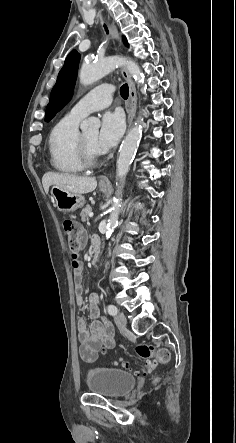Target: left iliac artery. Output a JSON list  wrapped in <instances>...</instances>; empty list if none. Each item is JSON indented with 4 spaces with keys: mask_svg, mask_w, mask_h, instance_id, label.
Segmentation results:
<instances>
[{
    "mask_svg": "<svg viewBox=\"0 0 236 443\" xmlns=\"http://www.w3.org/2000/svg\"><path fill=\"white\" fill-rule=\"evenodd\" d=\"M107 311L112 316H114V315H116L118 313L117 307L115 305H113V304H109L107 306Z\"/></svg>",
    "mask_w": 236,
    "mask_h": 443,
    "instance_id": "obj_1",
    "label": "left iliac artery"
}]
</instances>
